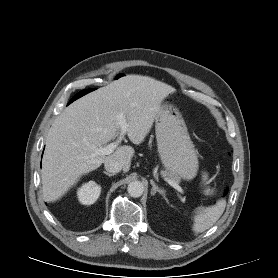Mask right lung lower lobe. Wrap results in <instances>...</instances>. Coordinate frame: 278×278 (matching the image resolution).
Returning a JSON list of instances; mask_svg holds the SVG:
<instances>
[{
	"label": "right lung lower lobe",
	"instance_id": "right-lung-lower-lobe-1",
	"mask_svg": "<svg viewBox=\"0 0 278 278\" xmlns=\"http://www.w3.org/2000/svg\"><path fill=\"white\" fill-rule=\"evenodd\" d=\"M78 97H80V96L77 94L72 100H75V99H77Z\"/></svg>",
	"mask_w": 278,
	"mask_h": 278
}]
</instances>
